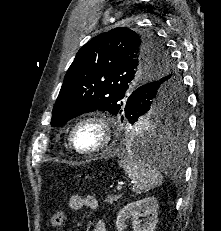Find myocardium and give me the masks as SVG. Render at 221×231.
Returning <instances> with one entry per match:
<instances>
[{
  "mask_svg": "<svg viewBox=\"0 0 221 231\" xmlns=\"http://www.w3.org/2000/svg\"><path fill=\"white\" fill-rule=\"evenodd\" d=\"M86 123H96L101 127L102 130V141L101 143L91 150H82L76 144V133L77 130ZM113 140V126L111 119L103 113H92L80 118L72 127L70 133V145L75 152L84 156L96 155L105 149H107Z\"/></svg>",
  "mask_w": 221,
  "mask_h": 231,
  "instance_id": "obj_1",
  "label": "myocardium"
}]
</instances>
